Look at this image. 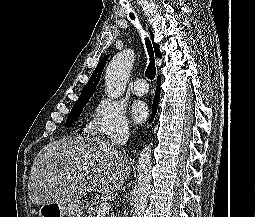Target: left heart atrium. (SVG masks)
Listing matches in <instances>:
<instances>
[{
  "mask_svg": "<svg viewBox=\"0 0 255 217\" xmlns=\"http://www.w3.org/2000/svg\"><path fill=\"white\" fill-rule=\"evenodd\" d=\"M131 116L136 123H142L148 116V107L142 101H136L131 106Z\"/></svg>",
  "mask_w": 255,
  "mask_h": 217,
  "instance_id": "obj_1",
  "label": "left heart atrium"
}]
</instances>
